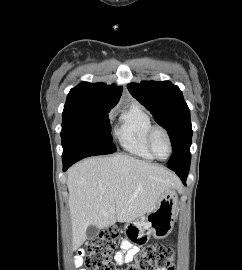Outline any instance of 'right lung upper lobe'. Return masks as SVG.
Wrapping results in <instances>:
<instances>
[{"instance_id":"obj_1","label":"right lung upper lobe","mask_w":242,"mask_h":270,"mask_svg":"<svg viewBox=\"0 0 242 270\" xmlns=\"http://www.w3.org/2000/svg\"><path fill=\"white\" fill-rule=\"evenodd\" d=\"M122 88L104 83L82 82L71 89L64 111H93L112 108L118 102Z\"/></svg>"}]
</instances>
